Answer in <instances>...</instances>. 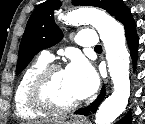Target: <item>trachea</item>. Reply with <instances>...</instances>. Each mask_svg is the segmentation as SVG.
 <instances>
[{"label":"trachea","instance_id":"obj_1","mask_svg":"<svg viewBox=\"0 0 145 124\" xmlns=\"http://www.w3.org/2000/svg\"><path fill=\"white\" fill-rule=\"evenodd\" d=\"M95 50H102V47H101L100 45H97V46L95 47Z\"/></svg>","mask_w":145,"mask_h":124}]
</instances>
